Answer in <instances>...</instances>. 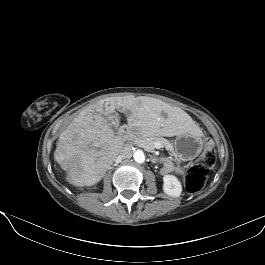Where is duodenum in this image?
Instances as JSON below:
<instances>
[{
    "label": "duodenum",
    "instance_id": "410a0bca",
    "mask_svg": "<svg viewBox=\"0 0 265 265\" xmlns=\"http://www.w3.org/2000/svg\"><path fill=\"white\" fill-rule=\"evenodd\" d=\"M119 136L125 137L126 136V131L125 130H120L119 131Z\"/></svg>",
    "mask_w": 265,
    "mask_h": 265
}]
</instances>
